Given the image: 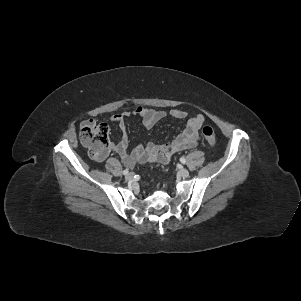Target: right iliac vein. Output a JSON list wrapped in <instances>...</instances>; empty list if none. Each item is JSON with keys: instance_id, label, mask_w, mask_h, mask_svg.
<instances>
[{"instance_id": "1", "label": "right iliac vein", "mask_w": 301, "mask_h": 301, "mask_svg": "<svg viewBox=\"0 0 301 301\" xmlns=\"http://www.w3.org/2000/svg\"><path fill=\"white\" fill-rule=\"evenodd\" d=\"M125 178H126L127 180H131V179L133 178V173H128V174L125 176Z\"/></svg>"}]
</instances>
